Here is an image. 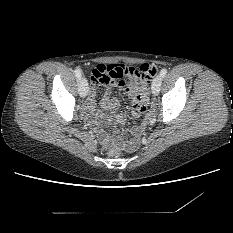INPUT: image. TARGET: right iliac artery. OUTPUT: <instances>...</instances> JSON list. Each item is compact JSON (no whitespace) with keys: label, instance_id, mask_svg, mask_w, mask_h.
I'll list each match as a JSON object with an SVG mask.
<instances>
[{"label":"right iliac artery","instance_id":"obj_1","mask_svg":"<svg viewBox=\"0 0 233 233\" xmlns=\"http://www.w3.org/2000/svg\"><path fill=\"white\" fill-rule=\"evenodd\" d=\"M75 76H76L77 80H80V78L82 76V73H81L80 69H76L75 70Z\"/></svg>","mask_w":233,"mask_h":233}]
</instances>
